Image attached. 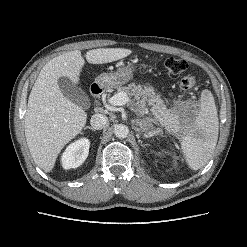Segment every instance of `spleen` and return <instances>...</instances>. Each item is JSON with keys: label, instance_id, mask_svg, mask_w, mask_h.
Returning a JSON list of instances; mask_svg holds the SVG:
<instances>
[{"label": "spleen", "instance_id": "obj_1", "mask_svg": "<svg viewBox=\"0 0 247 247\" xmlns=\"http://www.w3.org/2000/svg\"><path fill=\"white\" fill-rule=\"evenodd\" d=\"M219 121L214 97L204 90L198 116L181 140L186 162L192 170L203 167L210 159L218 140Z\"/></svg>", "mask_w": 247, "mask_h": 247}]
</instances>
